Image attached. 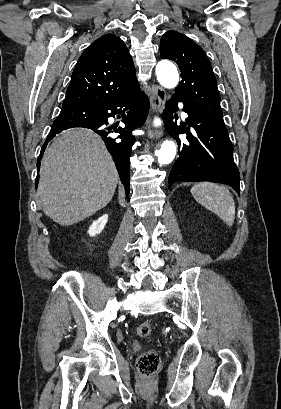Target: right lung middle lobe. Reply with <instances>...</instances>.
I'll list each match as a JSON object with an SVG mask.
<instances>
[{
  "label": "right lung middle lobe",
  "instance_id": "obj_1",
  "mask_svg": "<svg viewBox=\"0 0 281 409\" xmlns=\"http://www.w3.org/2000/svg\"><path fill=\"white\" fill-rule=\"evenodd\" d=\"M85 121L83 117L76 116H59L53 125H79Z\"/></svg>",
  "mask_w": 281,
  "mask_h": 409
}]
</instances>
